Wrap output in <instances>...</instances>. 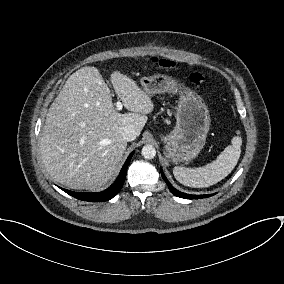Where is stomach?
Here are the masks:
<instances>
[{"label":"stomach","mask_w":284,"mask_h":284,"mask_svg":"<svg viewBox=\"0 0 284 284\" xmlns=\"http://www.w3.org/2000/svg\"><path fill=\"white\" fill-rule=\"evenodd\" d=\"M141 85L149 95L179 93L176 126L162 136L164 154L172 162H191L205 145L210 128V115L202 98L168 75L143 77Z\"/></svg>","instance_id":"obj_1"}]
</instances>
